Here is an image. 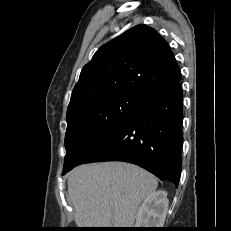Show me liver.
Masks as SVG:
<instances>
[{"label":"liver","instance_id":"1","mask_svg":"<svg viewBox=\"0 0 231 231\" xmlns=\"http://www.w3.org/2000/svg\"><path fill=\"white\" fill-rule=\"evenodd\" d=\"M158 186L146 170L125 162L76 167L68 178L69 198L80 228H132L141 202Z\"/></svg>","mask_w":231,"mask_h":231}]
</instances>
